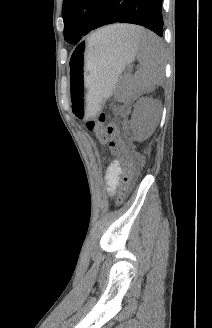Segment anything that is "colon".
Returning <instances> with one entry per match:
<instances>
[{"instance_id":"obj_1","label":"colon","mask_w":212,"mask_h":328,"mask_svg":"<svg viewBox=\"0 0 212 328\" xmlns=\"http://www.w3.org/2000/svg\"><path fill=\"white\" fill-rule=\"evenodd\" d=\"M104 121V116L99 115L97 118L89 120L87 122V127L90 131L95 132L99 143L103 146H107L112 153H123L122 141L118 128L114 124L106 125ZM140 165L141 159L138 157L130 159L127 162L120 190L117 194V206L121 205L127 197Z\"/></svg>"}]
</instances>
